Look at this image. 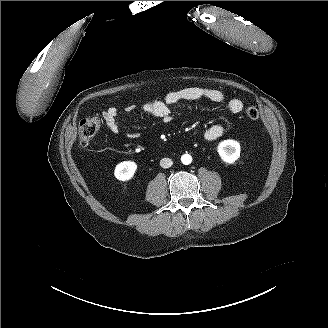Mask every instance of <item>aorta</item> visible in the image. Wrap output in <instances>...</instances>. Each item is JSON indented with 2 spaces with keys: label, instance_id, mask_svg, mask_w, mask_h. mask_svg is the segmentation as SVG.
I'll use <instances>...</instances> for the list:
<instances>
[{
  "label": "aorta",
  "instance_id": "1",
  "mask_svg": "<svg viewBox=\"0 0 328 328\" xmlns=\"http://www.w3.org/2000/svg\"><path fill=\"white\" fill-rule=\"evenodd\" d=\"M181 161L184 165H189L191 164L192 162V157L191 155L189 154H184L182 157H181Z\"/></svg>",
  "mask_w": 328,
  "mask_h": 328
}]
</instances>
